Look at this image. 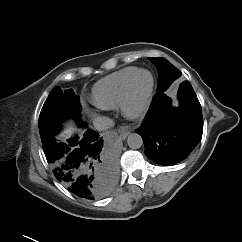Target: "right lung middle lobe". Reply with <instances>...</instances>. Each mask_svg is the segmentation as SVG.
Here are the masks:
<instances>
[{"label":"right lung middle lobe","instance_id":"obj_1","mask_svg":"<svg viewBox=\"0 0 242 242\" xmlns=\"http://www.w3.org/2000/svg\"><path fill=\"white\" fill-rule=\"evenodd\" d=\"M81 110L79 96L72 89L65 91H62L59 87L53 89L39 116L42 145L59 131L61 121L66 117H73L78 123H82Z\"/></svg>","mask_w":242,"mask_h":242}]
</instances>
